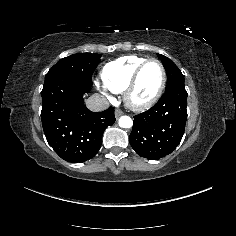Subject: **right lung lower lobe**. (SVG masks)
I'll return each mask as SVG.
<instances>
[{
    "label": "right lung lower lobe",
    "mask_w": 236,
    "mask_h": 236,
    "mask_svg": "<svg viewBox=\"0 0 236 236\" xmlns=\"http://www.w3.org/2000/svg\"><path fill=\"white\" fill-rule=\"evenodd\" d=\"M92 84L65 76L44 83L41 120L49 145L65 161L84 162L93 158L102 144L105 129L114 124V108L91 112L83 94Z\"/></svg>",
    "instance_id": "1"
}]
</instances>
